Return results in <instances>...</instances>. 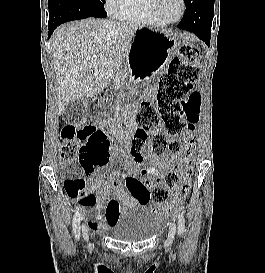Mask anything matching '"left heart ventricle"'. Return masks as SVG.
I'll return each instance as SVG.
<instances>
[{"label":"left heart ventricle","instance_id":"1","mask_svg":"<svg viewBox=\"0 0 265 273\" xmlns=\"http://www.w3.org/2000/svg\"><path fill=\"white\" fill-rule=\"evenodd\" d=\"M162 11L168 19H177L182 11L180 0H163Z\"/></svg>","mask_w":265,"mask_h":273}]
</instances>
